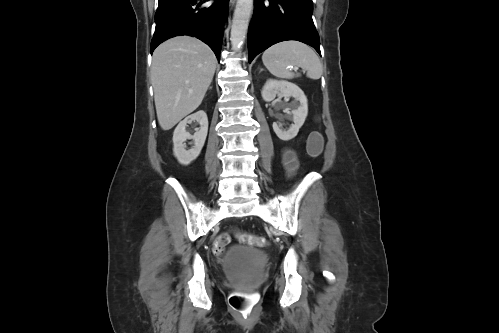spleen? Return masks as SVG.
Returning <instances> with one entry per match:
<instances>
[{
  "label": "spleen",
  "mask_w": 499,
  "mask_h": 333,
  "mask_svg": "<svg viewBox=\"0 0 499 333\" xmlns=\"http://www.w3.org/2000/svg\"><path fill=\"white\" fill-rule=\"evenodd\" d=\"M262 61L268 71L283 79H292L295 74L288 69L294 65L307 71V77L317 80L321 77L323 67L317 54L307 45L298 41L277 43L262 55Z\"/></svg>",
  "instance_id": "obj_1"
}]
</instances>
